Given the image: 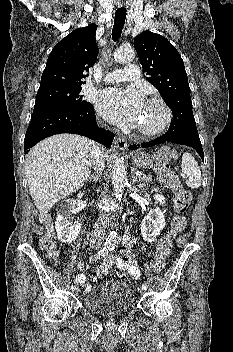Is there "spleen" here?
Listing matches in <instances>:
<instances>
[{
    "label": "spleen",
    "mask_w": 233,
    "mask_h": 352,
    "mask_svg": "<svg viewBox=\"0 0 233 352\" xmlns=\"http://www.w3.org/2000/svg\"><path fill=\"white\" fill-rule=\"evenodd\" d=\"M182 175L186 179V185L189 188L197 189L201 186V171L198 163L190 153H184L182 156Z\"/></svg>",
    "instance_id": "obj_1"
}]
</instances>
